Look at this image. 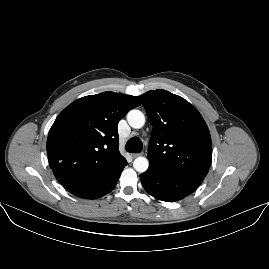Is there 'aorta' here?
<instances>
[{"mask_svg":"<svg viewBox=\"0 0 269 269\" xmlns=\"http://www.w3.org/2000/svg\"><path fill=\"white\" fill-rule=\"evenodd\" d=\"M129 125L134 129H141L145 125V116L139 110H131L127 115ZM133 167L138 172H145L149 167V160L144 156L137 157L133 162Z\"/></svg>","mask_w":269,"mask_h":269,"instance_id":"762f6f07","label":"aorta"}]
</instances>
